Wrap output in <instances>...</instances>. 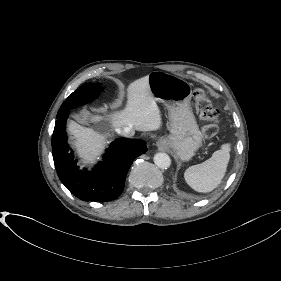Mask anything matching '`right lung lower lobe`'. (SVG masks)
Wrapping results in <instances>:
<instances>
[{
    "mask_svg": "<svg viewBox=\"0 0 281 281\" xmlns=\"http://www.w3.org/2000/svg\"><path fill=\"white\" fill-rule=\"evenodd\" d=\"M57 118L52 135V154L61 182L83 201H110L123 191L126 174L135 158L147 151L146 142L120 138L106 150L103 161L93 171L81 170L67 144L66 119Z\"/></svg>",
    "mask_w": 281,
    "mask_h": 281,
    "instance_id": "right-lung-lower-lobe-1",
    "label": "right lung lower lobe"
}]
</instances>
